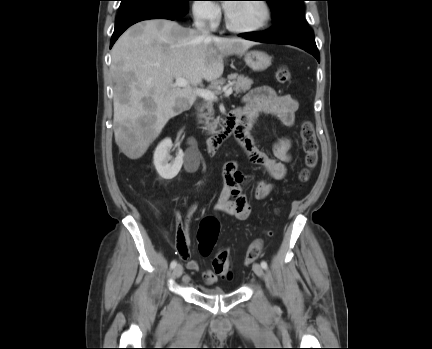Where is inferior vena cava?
Returning <instances> with one entry per match:
<instances>
[{
	"label": "inferior vena cava",
	"mask_w": 432,
	"mask_h": 349,
	"mask_svg": "<svg viewBox=\"0 0 432 349\" xmlns=\"http://www.w3.org/2000/svg\"><path fill=\"white\" fill-rule=\"evenodd\" d=\"M195 28L204 36H209V31L205 28L204 16L202 13H196L194 19Z\"/></svg>",
	"instance_id": "1"
}]
</instances>
